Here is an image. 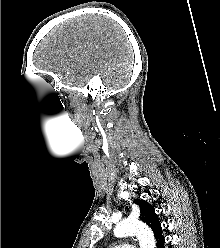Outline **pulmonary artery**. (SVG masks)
<instances>
[{"label":"pulmonary artery","mask_w":220,"mask_h":248,"mask_svg":"<svg viewBox=\"0 0 220 248\" xmlns=\"http://www.w3.org/2000/svg\"><path fill=\"white\" fill-rule=\"evenodd\" d=\"M114 248H134V247L130 244H121V245L115 246Z\"/></svg>","instance_id":"1"}]
</instances>
